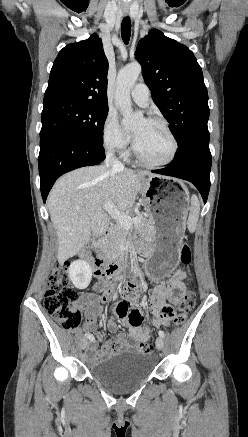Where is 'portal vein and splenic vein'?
<instances>
[{
	"label": "portal vein and splenic vein",
	"instance_id": "1",
	"mask_svg": "<svg viewBox=\"0 0 248 437\" xmlns=\"http://www.w3.org/2000/svg\"><path fill=\"white\" fill-rule=\"evenodd\" d=\"M103 209L107 211L112 218L117 220L119 224L125 228H130L133 224H138L140 222V217L131 218L129 215L119 211L112 202H107Z\"/></svg>",
	"mask_w": 248,
	"mask_h": 437
}]
</instances>
